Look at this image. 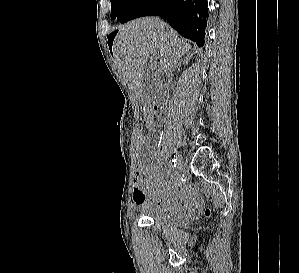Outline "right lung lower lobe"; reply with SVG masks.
I'll list each match as a JSON object with an SVG mask.
<instances>
[{"label":"right lung lower lobe","mask_w":299,"mask_h":273,"mask_svg":"<svg viewBox=\"0 0 299 273\" xmlns=\"http://www.w3.org/2000/svg\"><path fill=\"white\" fill-rule=\"evenodd\" d=\"M159 15L183 37L203 46L208 18L207 0H136L120 20Z\"/></svg>","instance_id":"1"}]
</instances>
